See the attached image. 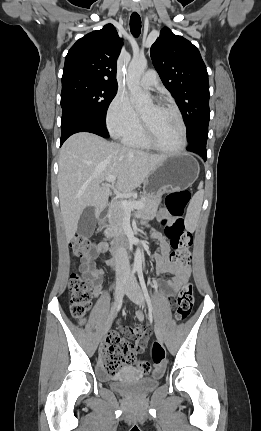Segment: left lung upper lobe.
Instances as JSON below:
<instances>
[{"mask_svg": "<svg viewBox=\"0 0 261 431\" xmlns=\"http://www.w3.org/2000/svg\"><path fill=\"white\" fill-rule=\"evenodd\" d=\"M153 65L182 112L188 142L208 137L209 83L199 50L164 27L150 49Z\"/></svg>", "mask_w": 261, "mask_h": 431, "instance_id": "5c2ea615", "label": "left lung upper lobe"}]
</instances>
